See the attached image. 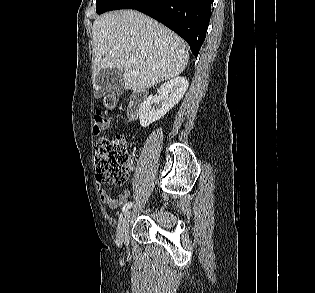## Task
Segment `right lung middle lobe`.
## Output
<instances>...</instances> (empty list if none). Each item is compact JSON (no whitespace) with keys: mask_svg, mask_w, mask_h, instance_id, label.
I'll return each instance as SVG.
<instances>
[{"mask_svg":"<svg viewBox=\"0 0 315 293\" xmlns=\"http://www.w3.org/2000/svg\"><path fill=\"white\" fill-rule=\"evenodd\" d=\"M117 0H96L97 14L104 13L116 2Z\"/></svg>","mask_w":315,"mask_h":293,"instance_id":"obj_1","label":"right lung middle lobe"}]
</instances>
